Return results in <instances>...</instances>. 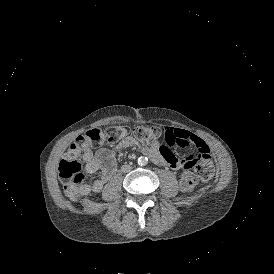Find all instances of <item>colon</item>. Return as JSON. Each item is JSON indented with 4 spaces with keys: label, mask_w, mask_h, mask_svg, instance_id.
Listing matches in <instances>:
<instances>
[{
    "label": "colon",
    "mask_w": 274,
    "mask_h": 274,
    "mask_svg": "<svg viewBox=\"0 0 274 274\" xmlns=\"http://www.w3.org/2000/svg\"><path fill=\"white\" fill-rule=\"evenodd\" d=\"M127 132L124 126L108 128L104 131V137L108 143L120 140ZM132 133L136 139L142 142L153 143L157 140H166L165 129L160 127H134ZM100 142L99 134H82L72 142L65 157L61 159L58 171L63 183V190L68 198L75 200L83 187L86 176L82 171V164L79 160L80 149H98ZM185 172V171H183ZM197 173H184L181 183L184 189L193 190L198 183Z\"/></svg>",
    "instance_id": "1"
}]
</instances>
